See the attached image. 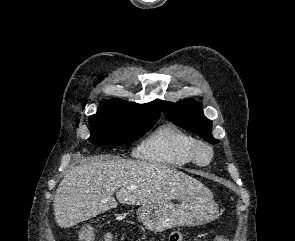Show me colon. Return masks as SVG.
I'll use <instances>...</instances> for the list:
<instances>
[{"label":"colon","mask_w":295,"mask_h":241,"mask_svg":"<svg viewBox=\"0 0 295 241\" xmlns=\"http://www.w3.org/2000/svg\"><path fill=\"white\" fill-rule=\"evenodd\" d=\"M83 241H94L95 233L94 230L91 228H87L83 230L82 233ZM170 241H184V238L181 233L173 232L170 236ZM213 241H228L223 237H216Z\"/></svg>","instance_id":"obj_1"}]
</instances>
